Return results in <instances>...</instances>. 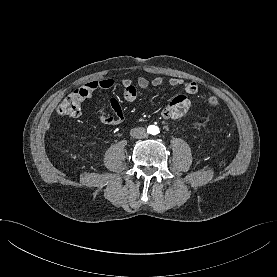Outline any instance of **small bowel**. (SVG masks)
<instances>
[{"label": "small bowel", "mask_w": 277, "mask_h": 277, "mask_svg": "<svg viewBox=\"0 0 277 277\" xmlns=\"http://www.w3.org/2000/svg\"><path fill=\"white\" fill-rule=\"evenodd\" d=\"M115 81L112 78H103L95 81H91L82 86L78 91L84 94V98H88L97 89H110L114 86ZM164 84L162 77L155 76L148 79L143 76H139L134 84L130 79H124L122 81V96L127 102L135 101L137 97L136 86L140 89H146L150 86L160 87ZM168 84L173 87H182L184 93L175 96L162 110L161 115L165 120H177L184 116L191 106V100L189 95L196 94L198 92V85L194 81H186L180 78H170ZM110 107L113 111L111 115L102 113L96 106L97 119L106 125H116L122 122L124 119L123 111L120 103L117 99H110Z\"/></svg>", "instance_id": "small-bowel-1"}]
</instances>
